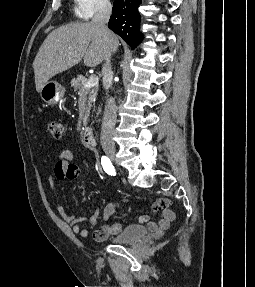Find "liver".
<instances>
[{"mask_svg": "<svg viewBox=\"0 0 255 287\" xmlns=\"http://www.w3.org/2000/svg\"><path fill=\"white\" fill-rule=\"evenodd\" d=\"M106 46L110 56L115 54L119 46L117 36L112 34L105 42L99 26L91 22H72L53 30L44 40L33 62L37 92L50 78L73 68L82 58L85 66H98L103 62Z\"/></svg>", "mask_w": 255, "mask_h": 287, "instance_id": "1", "label": "liver"}]
</instances>
